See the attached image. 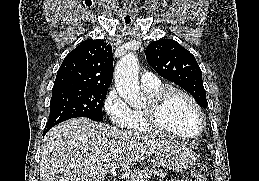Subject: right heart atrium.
Here are the masks:
<instances>
[{
  "label": "right heart atrium",
  "mask_w": 259,
  "mask_h": 181,
  "mask_svg": "<svg viewBox=\"0 0 259 181\" xmlns=\"http://www.w3.org/2000/svg\"><path fill=\"white\" fill-rule=\"evenodd\" d=\"M103 109L113 127H129L132 110L116 89H111L104 98Z\"/></svg>",
  "instance_id": "d8ad5b80"
}]
</instances>
